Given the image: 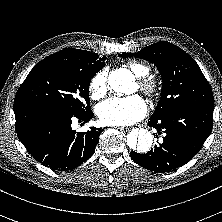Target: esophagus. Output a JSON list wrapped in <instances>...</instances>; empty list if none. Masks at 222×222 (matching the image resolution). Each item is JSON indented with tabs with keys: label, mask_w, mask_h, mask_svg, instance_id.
I'll list each match as a JSON object with an SVG mask.
<instances>
[{
	"label": "esophagus",
	"mask_w": 222,
	"mask_h": 222,
	"mask_svg": "<svg viewBox=\"0 0 222 222\" xmlns=\"http://www.w3.org/2000/svg\"><path fill=\"white\" fill-rule=\"evenodd\" d=\"M119 129H120V131H122V132H127V131L130 130V128H127V127H120Z\"/></svg>",
	"instance_id": "1"
}]
</instances>
